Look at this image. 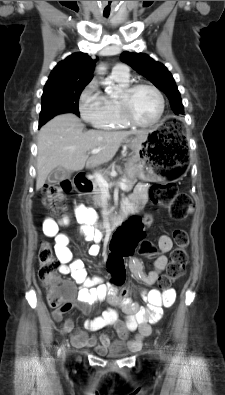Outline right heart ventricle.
Listing matches in <instances>:
<instances>
[{
	"label": "right heart ventricle",
	"mask_w": 225,
	"mask_h": 395,
	"mask_svg": "<svg viewBox=\"0 0 225 395\" xmlns=\"http://www.w3.org/2000/svg\"><path fill=\"white\" fill-rule=\"evenodd\" d=\"M110 79L116 84L119 90L124 89L129 85V78L122 79L110 76ZM103 101V113L100 118L98 128L104 130H116L127 128L128 125L124 122L121 116L118 98L110 95H101Z\"/></svg>",
	"instance_id": "1"
}]
</instances>
